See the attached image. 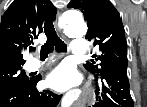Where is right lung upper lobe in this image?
Masks as SVG:
<instances>
[{
	"label": "right lung upper lobe",
	"mask_w": 147,
	"mask_h": 107,
	"mask_svg": "<svg viewBox=\"0 0 147 107\" xmlns=\"http://www.w3.org/2000/svg\"><path fill=\"white\" fill-rule=\"evenodd\" d=\"M56 13L50 0H14L1 19L0 69L23 65L22 52L42 32L43 20Z\"/></svg>",
	"instance_id": "obj_1"
}]
</instances>
